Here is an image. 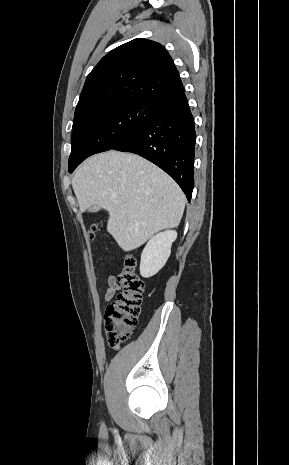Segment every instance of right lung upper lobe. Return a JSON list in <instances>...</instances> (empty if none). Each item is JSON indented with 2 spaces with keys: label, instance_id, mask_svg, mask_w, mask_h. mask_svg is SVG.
<instances>
[{
  "label": "right lung upper lobe",
  "instance_id": "cb5924a9",
  "mask_svg": "<svg viewBox=\"0 0 289 465\" xmlns=\"http://www.w3.org/2000/svg\"><path fill=\"white\" fill-rule=\"evenodd\" d=\"M181 91L178 70L167 50L157 42L137 38L109 52L87 76L73 125L114 103L157 102Z\"/></svg>",
  "mask_w": 289,
  "mask_h": 465
}]
</instances>
